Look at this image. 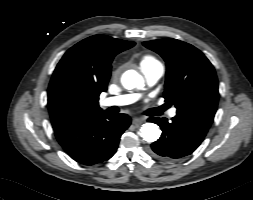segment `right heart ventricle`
<instances>
[{
  "instance_id": "obj_1",
  "label": "right heart ventricle",
  "mask_w": 253,
  "mask_h": 200,
  "mask_svg": "<svg viewBox=\"0 0 253 200\" xmlns=\"http://www.w3.org/2000/svg\"><path fill=\"white\" fill-rule=\"evenodd\" d=\"M156 61L153 57L151 56H144L143 59L141 60V63H149V62H154Z\"/></svg>"
}]
</instances>
